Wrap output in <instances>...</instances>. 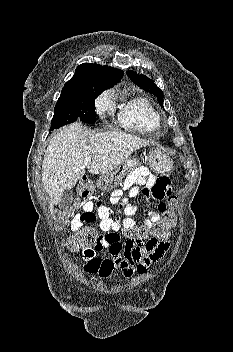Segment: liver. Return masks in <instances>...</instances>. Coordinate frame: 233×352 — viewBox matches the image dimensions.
Masks as SVG:
<instances>
[{"label": "liver", "mask_w": 233, "mask_h": 352, "mask_svg": "<svg viewBox=\"0 0 233 352\" xmlns=\"http://www.w3.org/2000/svg\"><path fill=\"white\" fill-rule=\"evenodd\" d=\"M146 145L148 142L140 137L116 131L95 133L78 122L57 132L42 164V183L51 199L50 210L59 204L66 189H72L82 179L86 166L91 174H106ZM85 157H91V162L85 163Z\"/></svg>", "instance_id": "6515ba94"}]
</instances>
